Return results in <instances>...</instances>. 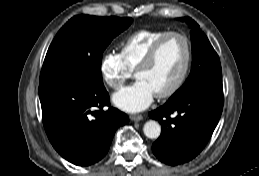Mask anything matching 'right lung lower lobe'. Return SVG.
<instances>
[{"mask_svg": "<svg viewBox=\"0 0 259 176\" xmlns=\"http://www.w3.org/2000/svg\"><path fill=\"white\" fill-rule=\"evenodd\" d=\"M43 124L55 150L67 161L88 166L109 150L128 116L112 107L104 85L64 79L39 85Z\"/></svg>", "mask_w": 259, "mask_h": 176, "instance_id": "98d812e1", "label": "right lung lower lobe"}]
</instances>
